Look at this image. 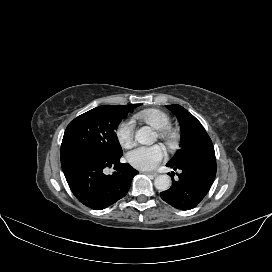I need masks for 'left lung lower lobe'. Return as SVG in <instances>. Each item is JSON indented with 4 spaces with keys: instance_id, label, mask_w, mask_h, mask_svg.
<instances>
[{
    "instance_id": "0a47b994",
    "label": "left lung lower lobe",
    "mask_w": 272,
    "mask_h": 272,
    "mask_svg": "<svg viewBox=\"0 0 272 272\" xmlns=\"http://www.w3.org/2000/svg\"><path fill=\"white\" fill-rule=\"evenodd\" d=\"M175 171L181 170L178 181L172 177L170 189L160 193L161 198L171 206L189 210L208 193L216 176L215 151L209 150L189 157L178 165H168ZM174 172H172V175Z\"/></svg>"
}]
</instances>
